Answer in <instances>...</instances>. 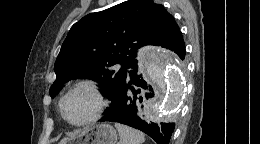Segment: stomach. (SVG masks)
<instances>
[{
  "instance_id": "stomach-1",
  "label": "stomach",
  "mask_w": 260,
  "mask_h": 144,
  "mask_svg": "<svg viewBox=\"0 0 260 144\" xmlns=\"http://www.w3.org/2000/svg\"><path fill=\"white\" fill-rule=\"evenodd\" d=\"M75 144H116L117 133L110 124H98L78 133Z\"/></svg>"
}]
</instances>
